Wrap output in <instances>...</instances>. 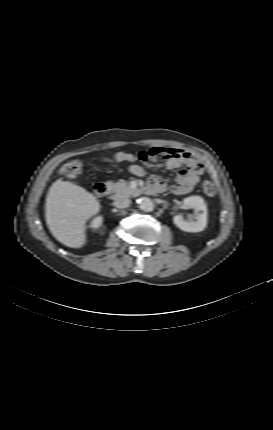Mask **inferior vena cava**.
I'll use <instances>...</instances> for the list:
<instances>
[{
	"label": "inferior vena cava",
	"mask_w": 273,
	"mask_h": 430,
	"mask_svg": "<svg viewBox=\"0 0 273 430\" xmlns=\"http://www.w3.org/2000/svg\"><path fill=\"white\" fill-rule=\"evenodd\" d=\"M131 204V201L128 198H121L117 200L114 205L118 208H127Z\"/></svg>",
	"instance_id": "inferior-vena-cava-1"
}]
</instances>
